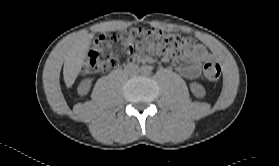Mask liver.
I'll return each mask as SVG.
<instances>
[{
    "instance_id": "obj_1",
    "label": "liver",
    "mask_w": 279,
    "mask_h": 166,
    "mask_svg": "<svg viewBox=\"0 0 279 166\" xmlns=\"http://www.w3.org/2000/svg\"><path fill=\"white\" fill-rule=\"evenodd\" d=\"M94 34H86L77 38L68 49L63 67V76L66 86L71 87L80 73L86 53Z\"/></svg>"
}]
</instances>
